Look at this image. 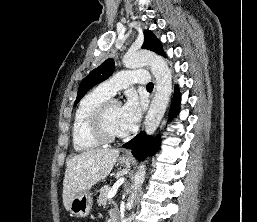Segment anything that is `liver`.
Listing matches in <instances>:
<instances>
[{"label": "liver", "mask_w": 257, "mask_h": 222, "mask_svg": "<svg viewBox=\"0 0 257 222\" xmlns=\"http://www.w3.org/2000/svg\"><path fill=\"white\" fill-rule=\"evenodd\" d=\"M119 153L118 149H92L67 161L62 194L66 210L69 211L70 202L77 193L87 191L108 176Z\"/></svg>", "instance_id": "liver-1"}]
</instances>
